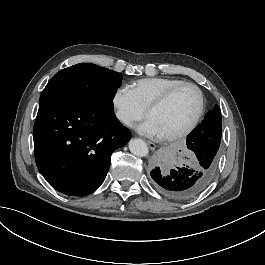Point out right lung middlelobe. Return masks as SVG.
I'll return each mask as SVG.
<instances>
[{
	"mask_svg": "<svg viewBox=\"0 0 265 265\" xmlns=\"http://www.w3.org/2000/svg\"><path fill=\"white\" fill-rule=\"evenodd\" d=\"M122 76L90 63H80L59 71L48 82L40 100L47 97L113 109V98Z\"/></svg>",
	"mask_w": 265,
	"mask_h": 265,
	"instance_id": "obj_1",
	"label": "right lung middle lobe"
}]
</instances>
